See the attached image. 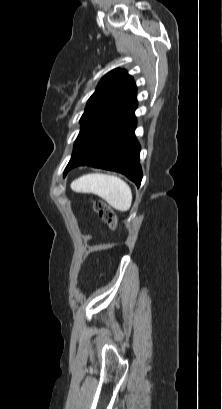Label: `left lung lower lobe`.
<instances>
[{"mask_svg": "<svg viewBox=\"0 0 222 409\" xmlns=\"http://www.w3.org/2000/svg\"><path fill=\"white\" fill-rule=\"evenodd\" d=\"M133 103L117 120L102 129L83 152L69 165L92 166L120 172L139 187L142 169L139 164L140 145L135 139L136 118Z\"/></svg>", "mask_w": 222, "mask_h": 409, "instance_id": "1", "label": "left lung lower lobe"}]
</instances>
